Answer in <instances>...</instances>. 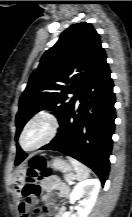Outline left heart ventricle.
<instances>
[{"label": "left heart ventricle", "instance_id": "obj_1", "mask_svg": "<svg viewBox=\"0 0 132 217\" xmlns=\"http://www.w3.org/2000/svg\"><path fill=\"white\" fill-rule=\"evenodd\" d=\"M49 124L45 120L35 122L25 133L23 143L27 148L39 144L48 134Z\"/></svg>", "mask_w": 132, "mask_h": 217}]
</instances>
